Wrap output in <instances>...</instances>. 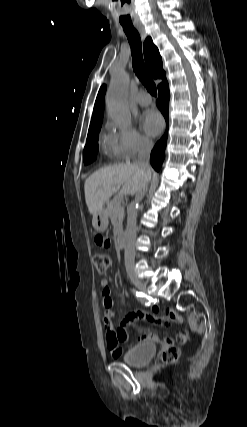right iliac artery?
<instances>
[{"label": "right iliac artery", "instance_id": "right-iliac-artery-1", "mask_svg": "<svg viewBox=\"0 0 247 427\" xmlns=\"http://www.w3.org/2000/svg\"><path fill=\"white\" fill-rule=\"evenodd\" d=\"M133 292H134V294H135V296H136V298L142 303V304H144L145 306H148L149 304H150V299H149V297H147V295H145L144 293H142V292H138V291H135V290H133Z\"/></svg>", "mask_w": 247, "mask_h": 427}]
</instances>
